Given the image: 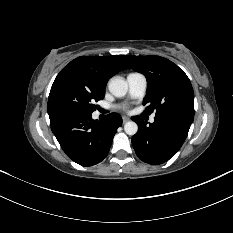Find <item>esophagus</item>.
I'll return each mask as SVG.
<instances>
[{
    "instance_id": "34e87169",
    "label": "esophagus",
    "mask_w": 233,
    "mask_h": 233,
    "mask_svg": "<svg viewBox=\"0 0 233 233\" xmlns=\"http://www.w3.org/2000/svg\"><path fill=\"white\" fill-rule=\"evenodd\" d=\"M129 120H130V118L127 117V116H123V117H122L123 123H126V122H128Z\"/></svg>"
}]
</instances>
